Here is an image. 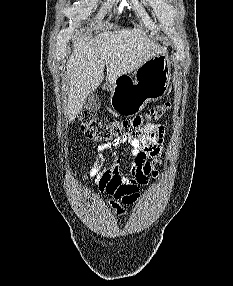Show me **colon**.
<instances>
[{"instance_id": "colon-1", "label": "colon", "mask_w": 233, "mask_h": 286, "mask_svg": "<svg viewBox=\"0 0 233 286\" xmlns=\"http://www.w3.org/2000/svg\"><path fill=\"white\" fill-rule=\"evenodd\" d=\"M169 103L153 107L145 116H136L130 120L109 121L92 110L84 109L79 119L85 134L100 142H115L140 133L146 126V120L160 119L169 108Z\"/></svg>"}]
</instances>
